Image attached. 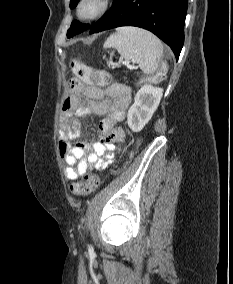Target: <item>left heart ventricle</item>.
Wrapping results in <instances>:
<instances>
[{
  "label": "left heart ventricle",
  "instance_id": "b2bd125f",
  "mask_svg": "<svg viewBox=\"0 0 233 284\" xmlns=\"http://www.w3.org/2000/svg\"><path fill=\"white\" fill-rule=\"evenodd\" d=\"M91 9H92V6H91V5H89V6L86 7V11H90Z\"/></svg>",
  "mask_w": 233,
  "mask_h": 284
}]
</instances>
